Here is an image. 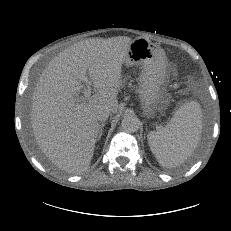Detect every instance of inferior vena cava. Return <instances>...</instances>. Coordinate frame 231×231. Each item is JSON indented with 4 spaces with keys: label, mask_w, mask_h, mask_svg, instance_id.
I'll return each mask as SVG.
<instances>
[{
    "label": "inferior vena cava",
    "mask_w": 231,
    "mask_h": 231,
    "mask_svg": "<svg viewBox=\"0 0 231 231\" xmlns=\"http://www.w3.org/2000/svg\"><path fill=\"white\" fill-rule=\"evenodd\" d=\"M110 113L111 109L109 107H103L98 110L96 117L98 121L105 122L108 119Z\"/></svg>",
    "instance_id": "inferior-vena-cava-1"
}]
</instances>
